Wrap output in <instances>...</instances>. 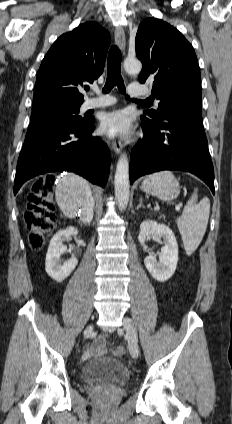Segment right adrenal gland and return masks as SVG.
<instances>
[{
	"mask_svg": "<svg viewBox=\"0 0 232 424\" xmlns=\"http://www.w3.org/2000/svg\"><path fill=\"white\" fill-rule=\"evenodd\" d=\"M79 223H80V225H82V222L79 221Z\"/></svg>",
	"mask_w": 232,
	"mask_h": 424,
	"instance_id": "1",
	"label": "right adrenal gland"
}]
</instances>
